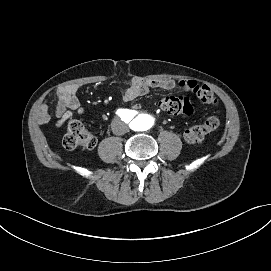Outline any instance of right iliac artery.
<instances>
[{"label": "right iliac artery", "instance_id": "82829eb1", "mask_svg": "<svg viewBox=\"0 0 271 271\" xmlns=\"http://www.w3.org/2000/svg\"><path fill=\"white\" fill-rule=\"evenodd\" d=\"M126 110H124V109H119L118 110V113H124Z\"/></svg>", "mask_w": 271, "mask_h": 271}]
</instances>
